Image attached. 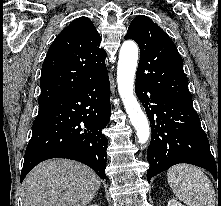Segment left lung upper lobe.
Segmentation results:
<instances>
[{
    "label": "left lung upper lobe",
    "instance_id": "obj_1",
    "mask_svg": "<svg viewBox=\"0 0 221 206\" xmlns=\"http://www.w3.org/2000/svg\"><path fill=\"white\" fill-rule=\"evenodd\" d=\"M125 39H133L140 48L136 83L180 102L192 103L183 61L170 37L150 18L136 16Z\"/></svg>",
    "mask_w": 221,
    "mask_h": 206
}]
</instances>
